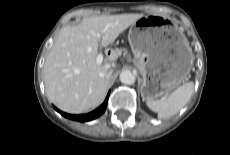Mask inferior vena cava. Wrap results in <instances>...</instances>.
Masks as SVG:
<instances>
[{
	"mask_svg": "<svg viewBox=\"0 0 230 155\" xmlns=\"http://www.w3.org/2000/svg\"><path fill=\"white\" fill-rule=\"evenodd\" d=\"M106 77H107L108 79H110V77H111V72H108V73L106 74Z\"/></svg>",
	"mask_w": 230,
	"mask_h": 155,
	"instance_id": "1",
	"label": "inferior vena cava"
}]
</instances>
